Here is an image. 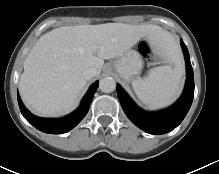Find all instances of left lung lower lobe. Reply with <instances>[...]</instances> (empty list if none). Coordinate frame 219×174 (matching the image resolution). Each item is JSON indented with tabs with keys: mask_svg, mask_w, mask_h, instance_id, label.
<instances>
[{
	"mask_svg": "<svg viewBox=\"0 0 219 174\" xmlns=\"http://www.w3.org/2000/svg\"><path fill=\"white\" fill-rule=\"evenodd\" d=\"M181 46L186 60V85L181 98L170 108L155 113L143 111L138 108L127 93L117 85V95L124 112L137 127L147 133L158 135L172 131L182 122L192 104L194 97L193 69L187 47L183 43V40H181Z\"/></svg>",
	"mask_w": 219,
	"mask_h": 174,
	"instance_id": "left-lung-lower-lobe-1",
	"label": "left lung lower lobe"
}]
</instances>
